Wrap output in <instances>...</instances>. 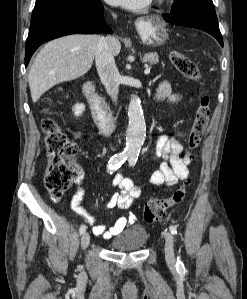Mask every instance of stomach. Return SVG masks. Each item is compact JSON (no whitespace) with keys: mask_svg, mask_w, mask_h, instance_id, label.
I'll return each instance as SVG.
<instances>
[{"mask_svg":"<svg viewBox=\"0 0 247 299\" xmlns=\"http://www.w3.org/2000/svg\"><path fill=\"white\" fill-rule=\"evenodd\" d=\"M137 30L143 43L150 46L162 45L168 39L167 29L160 21H139Z\"/></svg>","mask_w":247,"mask_h":299,"instance_id":"0dacf381","label":"stomach"}]
</instances>
